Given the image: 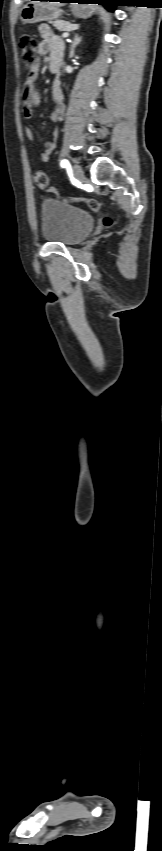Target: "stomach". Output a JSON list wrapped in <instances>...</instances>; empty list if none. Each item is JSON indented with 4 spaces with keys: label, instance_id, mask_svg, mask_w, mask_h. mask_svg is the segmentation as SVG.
I'll return each mask as SVG.
<instances>
[{
    "label": "stomach",
    "instance_id": "0dacf381",
    "mask_svg": "<svg viewBox=\"0 0 162 851\" xmlns=\"http://www.w3.org/2000/svg\"><path fill=\"white\" fill-rule=\"evenodd\" d=\"M72 13L79 18H87L94 12L99 11L96 8H87L78 3L71 4ZM62 10L58 7L45 6L38 2H29L25 4L20 11V19L24 24H33L41 21L56 20L62 14Z\"/></svg>",
    "mask_w": 162,
    "mask_h": 851
}]
</instances>
